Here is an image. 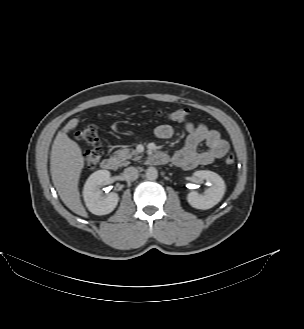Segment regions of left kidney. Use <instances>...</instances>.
Returning <instances> with one entry per match:
<instances>
[{
    "instance_id": "left-kidney-1",
    "label": "left kidney",
    "mask_w": 304,
    "mask_h": 329,
    "mask_svg": "<svg viewBox=\"0 0 304 329\" xmlns=\"http://www.w3.org/2000/svg\"><path fill=\"white\" fill-rule=\"evenodd\" d=\"M193 177L198 181L206 180L210 187L204 195L195 191L190 192L187 196L188 203L192 207L202 210L210 209L218 204L226 190L224 180L217 173L208 170L196 171Z\"/></svg>"
}]
</instances>
